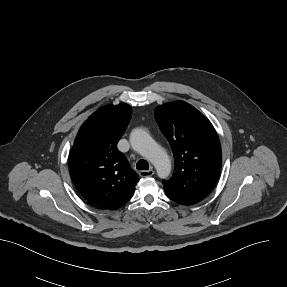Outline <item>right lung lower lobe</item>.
Instances as JSON below:
<instances>
[{"label": "right lung lower lobe", "instance_id": "right-lung-lower-lobe-1", "mask_svg": "<svg viewBox=\"0 0 287 287\" xmlns=\"http://www.w3.org/2000/svg\"><path fill=\"white\" fill-rule=\"evenodd\" d=\"M127 201H128V200H127ZM127 201H124V202L118 204L117 206H115L114 208H112V210H116V209L120 208V207H121L122 205H124Z\"/></svg>", "mask_w": 287, "mask_h": 287}]
</instances>
